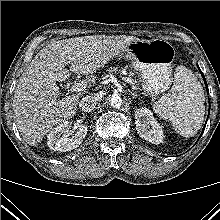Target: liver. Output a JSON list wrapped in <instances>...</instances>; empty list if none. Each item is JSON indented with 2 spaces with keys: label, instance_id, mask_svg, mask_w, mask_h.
<instances>
[{
  "label": "liver",
  "instance_id": "obj_1",
  "mask_svg": "<svg viewBox=\"0 0 220 220\" xmlns=\"http://www.w3.org/2000/svg\"><path fill=\"white\" fill-rule=\"evenodd\" d=\"M137 40L134 36L93 35L59 40L40 50L20 77L13 99L24 141L36 146L53 126L75 115L81 93L60 99L56 82L68 79L70 71L92 75ZM68 63L69 70L65 68Z\"/></svg>",
  "mask_w": 220,
  "mask_h": 220
}]
</instances>
